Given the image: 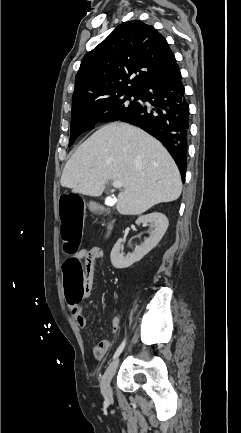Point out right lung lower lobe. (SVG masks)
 Wrapping results in <instances>:
<instances>
[{
  "label": "right lung lower lobe",
  "mask_w": 241,
  "mask_h": 433,
  "mask_svg": "<svg viewBox=\"0 0 241 433\" xmlns=\"http://www.w3.org/2000/svg\"><path fill=\"white\" fill-rule=\"evenodd\" d=\"M138 92L143 102L121 121L136 125L161 141L175 160L182 178L186 173L189 106L177 64L152 79Z\"/></svg>",
  "instance_id": "obj_1"
}]
</instances>
